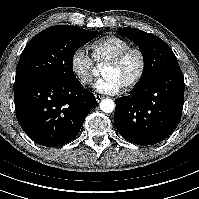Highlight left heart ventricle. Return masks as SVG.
Instances as JSON below:
<instances>
[{
    "label": "left heart ventricle",
    "instance_id": "left-heart-ventricle-1",
    "mask_svg": "<svg viewBox=\"0 0 199 199\" xmlns=\"http://www.w3.org/2000/svg\"><path fill=\"white\" fill-rule=\"evenodd\" d=\"M140 66L139 57L136 53L130 54L126 60L116 68L106 66L103 70L104 77H113L123 86L130 81L138 72Z\"/></svg>",
    "mask_w": 199,
    "mask_h": 199
}]
</instances>
